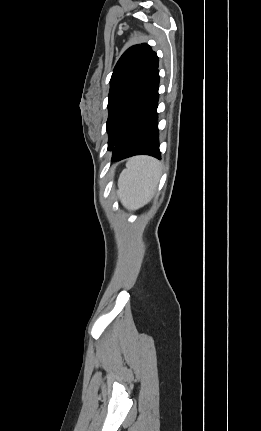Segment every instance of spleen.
I'll return each instance as SVG.
<instances>
[{
	"instance_id": "obj_1",
	"label": "spleen",
	"mask_w": 261,
	"mask_h": 431,
	"mask_svg": "<svg viewBox=\"0 0 261 431\" xmlns=\"http://www.w3.org/2000/svg\"><path fill=\"white\" fill-rule=\"evenodd\" d=\"M161 173V164L150 157H136L126 163L118 180V196L128 209L136 210L153 197Z\"/></svg>"
}]
</instances>
